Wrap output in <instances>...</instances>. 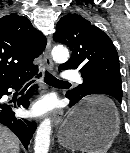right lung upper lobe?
<instances>
[{
	"label": "right lung upper lobe",
	"mask_w": 130,
	"mask_h": 153,
	"mask_svg": "<svg viewBox=\"0 0 130 153\" xmlns=\"http://www.w3.org/2000/svg\"><path fill=\"white\" fill-rule=\"evenodd\" d=\"M46 46V38L29 19L15 13L0 18V83L36 73L33 60Z\"/></svg>",
	"instance_id": "right-lung-upper-lobe-1"
}]
</instances>
